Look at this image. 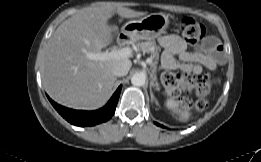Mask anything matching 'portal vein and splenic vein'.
Segmentation results:
<instances>
[{
    "label": "portal vein and splenic vein",
    "mask_w": 261,
    "mask_h": 162,
    "mask_svg": "<svg viewBox=\"0 0 261 162\" xmlns=\"http://www.w3.org/2000/svg\"><path fill=\"white\" fill-rule=\"evenodd\" d=\"M132 55V49L129 47L121 49H112L111 51L88 53L87 57L91 60L106 61L111 59H127ZM147 63H151L152 59L148 58Z\"/></svg>",
    "instance_id": "18ae733b"
}]
</instances>
